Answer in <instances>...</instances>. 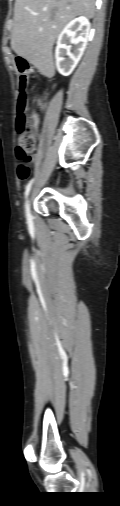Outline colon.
I'll return each mask as SVG.
<instances>
[{
  "label": "colon",
  "mask_w": 120,
  "mask_h": 506,
  "mask_svg": "<svg viewBox=\"0 0 120 506\" xmlns=\"http://www.w3.org/2000/svg\"><path fill=\"white\" fill-rule=\"evenodd\" d=\"M14 60L21 72L19 86L24 91L28 83L27 73L30 70L27 57L19 54L15 56ZM34 127V114L29 108L28 97L25 93H22L18 100L17 130L19 140L16 149V155L19 160L17 173L21 179L27 178L30 172L28 162L30 161V153L34 150L36 142Z\"/></svg>",
  "instance_id": "colon-1"
}]
</instances>
